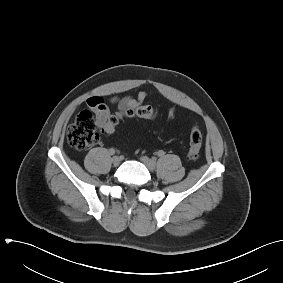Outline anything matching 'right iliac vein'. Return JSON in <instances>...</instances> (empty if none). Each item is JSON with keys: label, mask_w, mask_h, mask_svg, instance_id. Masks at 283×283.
<instances>
[{"label": "right iliac vein", "mask_w": 283, "mask_h": 283, "mask_svg": "<svg viewBox=\"0 0 283 283\" xmlns=\"http://www.w3.org/2000/svg\"><path fill=\"white\" fill-rule=\"evenodd\" d=\"M120 162H121V159H120L119 156H114V157L112 158V164H113V166H115V167L119 166Z\"/></svg>", "instance_id": "right-iliac-vein-1"}]
</instances>
